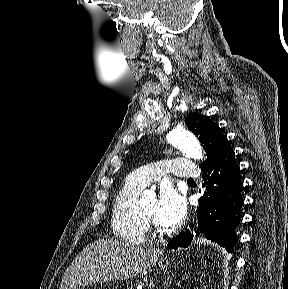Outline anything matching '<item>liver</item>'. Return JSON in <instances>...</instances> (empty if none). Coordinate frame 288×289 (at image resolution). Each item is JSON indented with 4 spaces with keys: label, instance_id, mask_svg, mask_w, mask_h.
I'll list each match as a JSON object with an SVG mask.
<instances>
[{
    "label": "liver",
    "instance_id": "1",
    "mask_svg": "<svg viewBox=\"0 0 288 289\" xmlns=\"http://www.w3.org/2000/svg\"><path fill=\"white\" fill-rule=\"evenodd\" d=\"M163 252V249H144L112 239L96 240L66 269L60 289L131 279L154 266Z\"/></svg>",
    "mask_w": 288,
    "mask_h": 289
}]
</instances>
